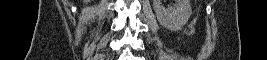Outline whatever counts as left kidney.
Listing matches in <instances>:
<instances>
[{"mask_svg":"<svg viewBox=\"0 0 267 60\" xmlns=\"http://www.w3.org/2000/svg\"><path fill=\"white\" fill-rule=\"evenodd\" d=\"M153 6L159 23L170 31L180 30L192 13L189 0H176L175 7L169 9L162 6L161 0H153Z\"/></svg>","mask_w":267,"mask_h":60,"instance_id":"obj_1","label":"left kidney"}]
</instances>
